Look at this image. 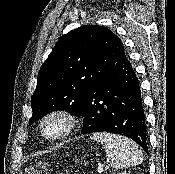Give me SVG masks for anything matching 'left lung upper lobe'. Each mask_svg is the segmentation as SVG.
Listing matches in <instances>:
<instances>
[{"label": "left lung upper lobe", "instance_id": "5c2ea615", "mask_svg": "<svg viewBox=\"0 0 175 174\" xmlns=\"http://www.w3.org/2000/svg\"><path fill=\"white\" fill-rule=\"evenodd\" d=\"M123 53L121 40L102 26H82L62 36L39 71L29 124L56 110L80 115L85 95Z\"/></svg>", "mask_w": 175, "mask_h": 174}]
</instances>
